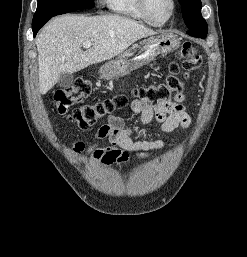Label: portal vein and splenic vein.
Returning <instances> with one entry per match:
<instances>
[{
  "instance_id": "obj_1",
  "label": "portal vein and splenic vein",
  "mask_w": 247,
  "mask_h": 257,
  "mask_svg": "<svg viewBox=\"0 0 247 257\" xmlns=\"http://www.w3.org/2000/svg\"><path fill=\"white\" fill-rule=\"evenodd\" d=\"M92 46V43L90 41H86L83 43V48H90Z\"/></svg>"
}]
</instances>
